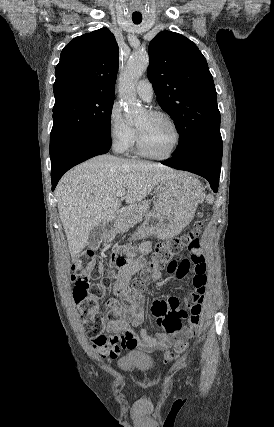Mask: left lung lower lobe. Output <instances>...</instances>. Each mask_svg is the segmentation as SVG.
<instances>
[{
  "mask_svg": "<svg viewBox=\"0 0 274 427\" xmlns=\"http://www.w3.org/2000/svg\"><path fill=\"white\" fill-rule=\"evenodd\" d=\"M223 143L221 138L209 139L184 153L161 162L164 165L186 170L206 178L214 192L218 191Z\"/></svg>",
  "mask_w": 274,
  "mask_h": 427,
  "instance_id": "1",
  "label": "left lung lower lobe"
}]
</instances>
